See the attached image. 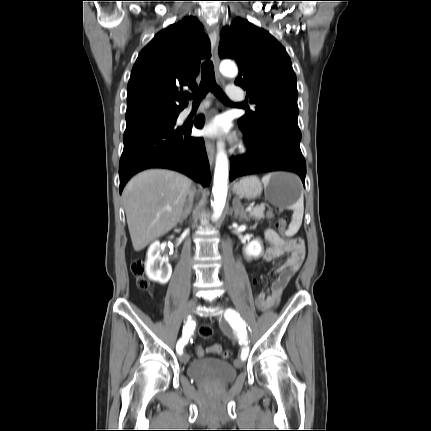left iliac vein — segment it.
I'll use <instances>...</instances> for the list:
<instances>
[{
    "label": "left iliac vein",
    "mask_w": 431,
    "mask_h": 431,
    "mask_svg": "<svg viewBox=\"0 0 431 431\" xmlns=\"http://www.w3.org/2000/svg\"><path fill=\"white\" fill-rule=\"evenodd\" d=\"M235 366L237 368H242L244 366V360L241 358H238L235 360Z\"/></svg>",
    "instance_id": "4c4485c4"
}]
</instances>
